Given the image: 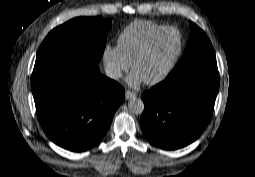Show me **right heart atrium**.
Instances as JSON below:
<instances>
[{
    "instance_id": "obj_1",
    "label": "right heart atrium",
    "mask_w": 255,
    "mask_h": 177,
    "mask_svg": "<svg viewBox=\"0 0 255 177\" xmlns=\"http://www.w3.org/2000/svg\"><path fill=\"white\" fill-rule=\"evenodd\" d=\"M102 59L108 75L115 80L120 79L129 70L131 65L119 45L110 43L105 45Z\"/></svg>"
}]
</instances>
